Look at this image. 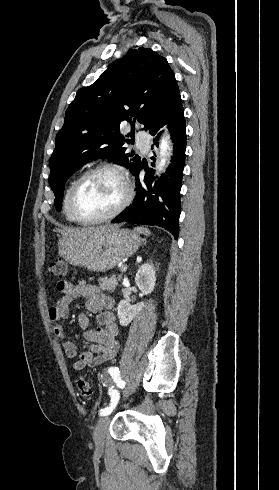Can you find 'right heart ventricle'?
I'll return each mask as SVG.
<instances>
[{"mask_svg": "<svg viewBox=\"0 0 279 490\" xmlns=\"http://www.w3.org/2000/svg\"><path fill=\"white\" fill-rule=\"evenodd\" d=\"M79 175H73L66 183L64 193H63V201H62V213L64 218L66 219L67 222L69 223H76L74 220L71 211H70V199H71V192L73 189V186L78 179Z\"/></svg>", "mask_w": 279, "mask_h": 490, "instance_id": "obj_1", "label": "right heart ventricle"}]
</instances>
